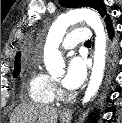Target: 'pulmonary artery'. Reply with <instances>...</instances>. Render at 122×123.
I'll return each mask as SVG.
<instances>
[{"instance_id":"pulmonary-artery-1","label":"pulmonary artery","mask_w":122,"mask_h":123,"mask_svg":"<svg viewBox=\"0 0 122 123\" xmlns=\"http://www.w3.org/2000/svg\"><path fill=\"white\" fill-rule=\"evenodd\" d=\"M90 39V32L86 28H76L69 32L62 42L64 49H73L79 43H85Z\"/></svg>"}]
</instances>
